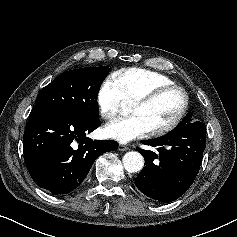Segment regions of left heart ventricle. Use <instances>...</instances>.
Returning a JSON list of instances; mask_svg holds the SVG:
<instances>
[{
    "instance_id": "b2bd125f",
    "label": "left heart ventricle",
    "mask_w": 237,
    "mask_h": 237,
    "mask_svg": "<svg viewBox=\"0 0 237 237\" xmlns=\"http://www.w3.org/2000/svg\"><path fill=\"white\" fill-rule=\"evenodd\" d=\"M181 105V94L178 91H170L149 104L132 105L130 113L140 116L149 130H153L170 123L179 112Z\"/></svg>"
}]
</instances>
